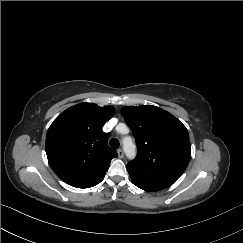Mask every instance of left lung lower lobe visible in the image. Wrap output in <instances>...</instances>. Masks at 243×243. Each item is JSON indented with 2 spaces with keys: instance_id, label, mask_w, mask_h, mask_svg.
<instances>
[{
  "instance_id": "left-lung-lower-lobe-1",
  "label": "left lung lower lobe",
  "mask_w": 243,
  "mask_h": 243,
  "mask_svg": "<svg viewBox=\"0 0 243 243\" xmlns=\"http://www.w3.org/2000/svg\"><path fill=\"white\" fill-rule=\"evenodd\" d=\"M177 179L176 177H164L153 181H132V183L145 191H158L169 187Z\"/></svg>"
}]
</instances>
